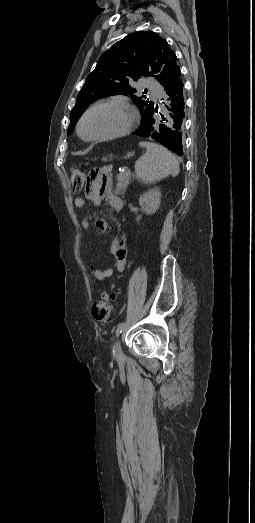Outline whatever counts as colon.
<instances>
[{"label":"colon","mask_w":255,"mask_h":523,"mask_svg":"<svg viewBox=\"0 0 255 523\" xmlns=\"http://www.w3.org/2000/svg\"><path fill=\"white\" fill-rule=\"evenodd\" d=\"M71 184L75 191H80L85 184V173L82 169L73 167L69 171ZM116 290H104L98 300L93 305L92 314L96 321L100 323H109L114 310V301Z\"/></svg>","instance_id":"5ec220e1"}]
</instances>
